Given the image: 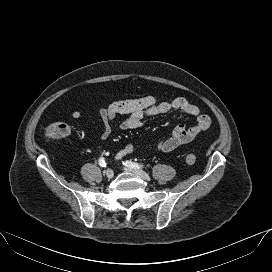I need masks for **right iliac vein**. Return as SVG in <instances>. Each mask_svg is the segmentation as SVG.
Wrapping results in <instances>:
<instances>
[{
    "label": "right iliac vein",
    "instance_id": "obj_1",
    "mask_svg": "<svg viewBox=\"0 0 272 272\" xmlns=\"http://www.w3.org/2000/svg\"><path fill=\"white\" fill-rule=\"evenodd\" d=\"M104 174L108 179H111L114 176V172L112 169H107Z\"/></svg>",
    "mask_w": 272,
    "mask_h": 272
}]
</instances>
